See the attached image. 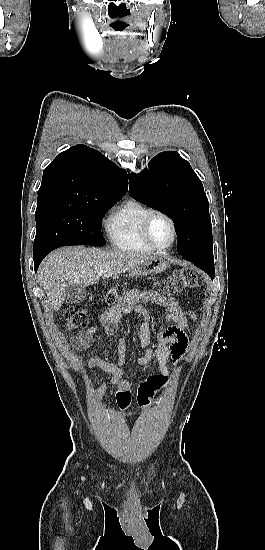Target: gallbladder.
I'll list each match as a JSON object with an SVG mask.
<instances>
[{
	"mask_svg": "<svg viewBox=\"0 0 265 550\" xmlns=\"http://www.w3.org/2000/svg\"><path fill=\"white\" fill-rule=\"evenodd\" d=\"M87 291L84 286L77 284H69L64 290V300L68 304H75L83 301Z\"/></svg>",
	"mask_w": 265,
	"mask_h": 550,
	"instance_id": "bac80fb5",
	"label": "gallbladder"
}]
</instances>
